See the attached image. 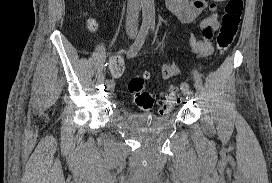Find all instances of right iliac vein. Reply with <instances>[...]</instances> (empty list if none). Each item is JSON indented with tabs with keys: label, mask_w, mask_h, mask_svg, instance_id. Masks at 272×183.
Wrapping results in <instances>:
<instances>
[{
	"label": "right iliac vein",
	"mask_w": 272,
	"mask_h": 183,
	"mask_svg": "<svg viewBox=\"0 0 272 183\" xmlns=\"http://www.w3.org/2000/svg\"><path fill=\"white\" fill-rule=\"evenodd\" d=\"M130 37H134V34L132 33V34L130 35ZM105 84H106V89H107L108 91L112 92V91L114 90L115 84H114L113 81L107 82V80H106Z\"/></svg>",
	"instance_id": "1"
}]
</instances>
